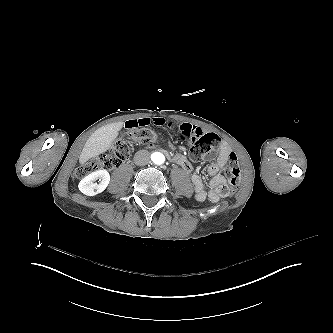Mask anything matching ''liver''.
Instances as JSON below:
<instances>
[{
	"label": "liver",
	"mask_w": 333,
	"mask_h": 333,
	"mask_svg": "<svg viewBox=\"0 0 333 333\" xmlns=\"http://www.w3.org/2000/svg\"><path fill=\"white\" fill-rule=\"evenodd\" d=\"M123 126L124 122H115L98 128L86 141L79 156V164L84 165L91 158L110 150Z\"/></svg>",
	"instance_id": "liver-1"
}]
</instances>
